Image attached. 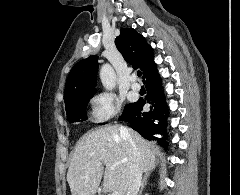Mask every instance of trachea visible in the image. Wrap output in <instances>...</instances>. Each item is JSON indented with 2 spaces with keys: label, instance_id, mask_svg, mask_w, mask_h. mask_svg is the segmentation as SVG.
Returning <instances> with one entry per match:
<instances>
[{
  "label": "trachea",
  "instance_id": "3493384b",
  "mask_svg": "<svg viewBox=\"0 0 240 195\" xmlns=\"http://www.w3.org/2000/svg\"><path fill=\"white\" fill-rule=\"evenodd\" d=\"M137 75H138V77H141L142 72H141V71H138V72H137Z\"/></svg>",
  "mask_w": 240,
  "mask_h": 195
}]
</instances>
